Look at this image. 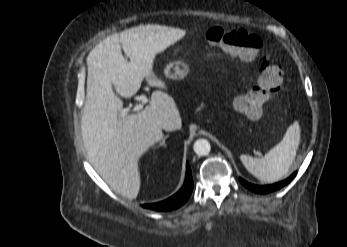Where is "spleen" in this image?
I'll return each mask as SVG.
<instances>
[{"instance_id":"1","label":"spleen","mask_w":347,"mask_h":247,"mask_svg":"<svg viewBox=\"0 0 347 247\" xmlns=\"http://www.w3.org/2000/svg\"><path fill=\"white\" fill-rule=\"evenodd\" d=\"M300 126L295 121L279 144L273 147L264 157L255 158L246 154L240 160L249 173L264 182H275L286 175L292 166L300 143Z\"/></svg>"}]
</instances>
